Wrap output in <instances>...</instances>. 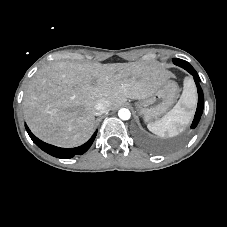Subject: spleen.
I'll list each match as a JSON object with an SVG mask.
<instances>
[{
  "mask_svg": "<svg viewBox=\"0 0 227 227\" xmlns=\"http://www.w3.org/2000/svg\"><path fill=\"white\" fill-rule=\"evenodd\" d=\"M191 87V83L186 81L178 103L163 118L148 123L149 131L160 137H174L183 130L184 126L189 123L192 109L196 104Z\"/></svg>",
  "mask_w": 227,
  "mask_h": 227,
  "instance_id": "spleen-1",
  "label": "spleen"
}]
</instances>
